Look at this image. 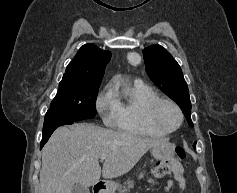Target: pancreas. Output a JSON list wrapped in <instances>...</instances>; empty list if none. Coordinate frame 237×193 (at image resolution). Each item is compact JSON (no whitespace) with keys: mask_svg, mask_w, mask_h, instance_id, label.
I'll use <instances>...</instances> for the list:
<instances>
[{"mask_svg":"<svg viewBox=\"0 0 237 193\" xmlns=\"http://www.w3.org/2000/svg\"><path fill=\"white\" fill-rule=\"evenodd\" d=\"M132 186H133V182L128 181V182H127V187L130 188V187H132ZM127 191H128V189H125L124 192H122V193H127Z\"/></svg>","mask_w":237,"mask_h":193,"instance_id":"obj_1","label":"pancreas"}]
</instances>
